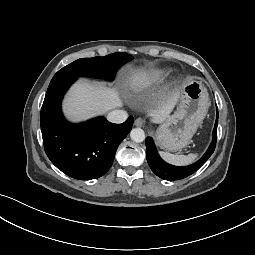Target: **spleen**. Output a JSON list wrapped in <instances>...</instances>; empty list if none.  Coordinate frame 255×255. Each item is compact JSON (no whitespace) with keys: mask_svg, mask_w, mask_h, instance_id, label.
<instances>
[{"mask_svg":"<svg viewBox=\"0 0 255 255\" xmlns=\"http://www.w3.org/2000/svg\"><path fill=\"white\" fill-rule=\"evenodd\" d=\"M161 157L168 163L177 166H185L194 162L197 158L196 153H190L188 155H175L168 152H159Z\"/></svg>","mask_w":255,"mask_h":255,"instance_id":"3e777b00","label":"spleen"}]
</instances>
